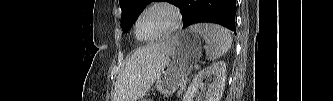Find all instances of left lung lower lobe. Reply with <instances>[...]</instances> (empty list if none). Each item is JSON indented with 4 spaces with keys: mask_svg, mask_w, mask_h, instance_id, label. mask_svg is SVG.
I'll return each instance as SVG.
<instances>
[{
    "mask_svg": "<svg viewBox=\"0 0 333 101\" xmlns=\"http://www.w3.org/2000/svg\"><path fill=\"white\" fill-rule=\"evenodd\" d=\"M183 28L200 22L217 23L235 32L236 0H181Z\"/></svg>",
    "mask_w": 333,
    "mask_h": 101,
    "instance_id": "0a47b994",
    "label": "left lung lower lobe"
}]
</instances>
